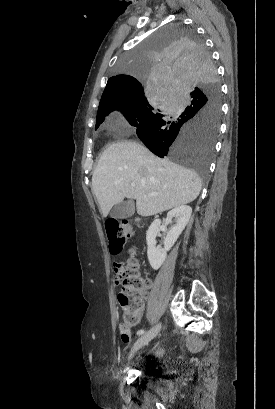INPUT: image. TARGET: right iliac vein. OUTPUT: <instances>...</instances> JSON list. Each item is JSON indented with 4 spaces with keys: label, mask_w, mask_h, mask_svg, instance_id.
<instances>
[{
    "label": "right iliac vein",
    "mask_w": 275,
    "mask_h": 409,
    "mask_svg": "<svg viewBox=\"0 0 275 409\" xmlns=\"http://www.w3.org/2000/svg\"><path fill=\"white\" fill-rule=\"evenodd\" d=\"M161 329V324L158 323L155 325L153 328H151L148 332L144 333L141 337L137 339V341L134 343L133 347L131 348V351L129 353L128 358H132L133 355L141 349L143 346L148 344L153 338H155L159 331Z\"/></svg>",
    "instance_id": "63e3f726"
}]
</instances>
